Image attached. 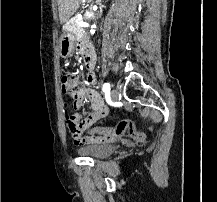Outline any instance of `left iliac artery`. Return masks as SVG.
Masks as SVG:
<instances>
[{
	"instance_id": "44dca946",
	"label": "left iliac artery",
	"mask_w": 217,
	"mask_h": 202,
	"mask_svg": "<svg viewBox=\"0 0 217 202\" xmlns=\"http://www.w3.org/2000/svg\"><path fill=\"white\" fill-rule=\"evenodd\" d=\"M103 92H110V84L109 83H104L102 87Z\"/></svg>"
}]
</instances>
